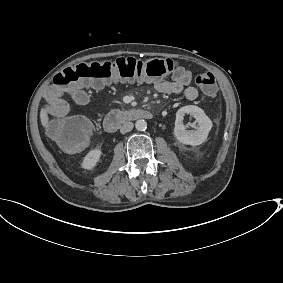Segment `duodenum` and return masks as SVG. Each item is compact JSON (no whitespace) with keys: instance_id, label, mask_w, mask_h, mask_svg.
Returning <instances> with one entry per match:
<instances>
[{"instance_id":"duodenum-1","label":"duodenum","mask_w":283,"mask_h":283,"mask_svg":"<svg viewBox=\"0 0 283 283\" xmlns=\"http://www.w3.org/2000/svg\"><path fill=\"white\" fill-rule=\"evenodd\" d=\"M127 118L132 119H151L152 113L146 109H135L132 114L126 116L121 112H111L107 113L103 119L104 129L109 133H114L118 130L119 126L127 120Z\"/></svg>"}]
</instances>
